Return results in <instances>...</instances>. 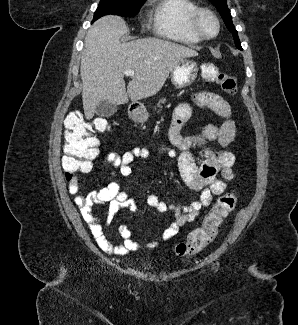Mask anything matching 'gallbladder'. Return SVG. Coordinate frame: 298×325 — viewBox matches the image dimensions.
<instances>
[{"label":"gallbladder","instance_id":"gallbladder-1","mask_svg":"<svg viewBox=\"0 0 298 325\" xmlns=\"http://www.w3.org/2000/svg\"><path fill=\"white\" fill-rule=\"evenodd\" d=\"M117 110V104H112V102H108V100H101L95 108V112L98 116H112Z\"/></svg>","mask_w":298,"mask_h":325}]
</instances>
